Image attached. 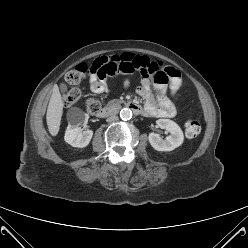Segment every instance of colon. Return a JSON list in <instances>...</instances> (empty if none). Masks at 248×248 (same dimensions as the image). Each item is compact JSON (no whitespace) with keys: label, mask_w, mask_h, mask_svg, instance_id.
I'll use <instances>...</instances> for the list:
<instances>
[{"label":"colon","mask_w":248,"mask_h":248,"mask_svg":"<svg viewBox=\"0 0 248 248\" xmlns=\"http://www.w3.org/2000/svg\"><path fill=\"white\" fill-rule=\"evenodd\" d=\"M115 71V65L112 61L107 59H99L91 65L81 64L75 69L69 71L65 79L71 85L79 84L87 76L95 75L100 79L112 75ZM143 76H146V73L141 72ZM158 80L162 81L164 79L163 75L157 77ZM82 93L78 88H73L66 92L63 96L64 104L67 107L74 105L81 98ZM86 109L89 113H97L101 109V102L99 99L94 97L87 98L85 102ZM201 131L200 123L195 118H188L185 121V132L189 137L197 136Z\"/></svg>","instance_id":"obj_1"}]
</instances>
